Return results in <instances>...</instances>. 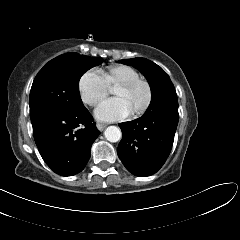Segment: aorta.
<instances>
[{
	"instance_id": "aorta-1",
	"label": "aorta",
	"mask_w": 240,
	"mask_h": 240,
	"mask_svg": "<svg viewBox=\"0 0 240 240\" xmlns=\"http://www.w3.org/2000/svg\"><path fill=\"white\" fill-rule=\"evenodd\" d=\"M105 138L109 141V142H118L121 137H122V133L120 128L116 127V126H109L106 128L105 132H104Z\"/></svg>"
}]
</instances>
